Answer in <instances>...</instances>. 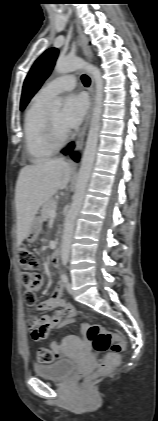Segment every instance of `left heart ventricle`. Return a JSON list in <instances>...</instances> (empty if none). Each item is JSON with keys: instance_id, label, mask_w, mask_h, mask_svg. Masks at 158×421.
Segmentation results:
<instances>
[{"instance_id": "b2bd125f", "label": "left heart ventricle", "mask_w": 158, "mask_h": 421, "mask_svg": "<svg viewBox=\"0 0 158 421\" xmlns=\"http://www.w3.org/2000/svg\"><path fill=\"white\" fill-rule=\"evenodd\" d=\"M49 114H50V117H51L53 123L55 124L57 130L60 133L66 132V130L61 125V121H60V119H61V112L60 111H54V112H51Z\"/></svg>"}]
</instances>
